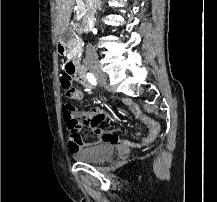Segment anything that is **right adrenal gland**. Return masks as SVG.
<instances>
[{"label": "right adrenal gland", "instance_id": "obj_1", "mask_svg": "<svg viewBox=\"0 0 217 202\" xmlns=\"http://www.w3.org/2000/svg\"><path fill=\"white\" fill-rule=\"evenodd\" d=\"M101 4H103V2H99L98 10H101Z\"/></svg>", "mask_w": 217, "mask_h": 202}]
</instances>
